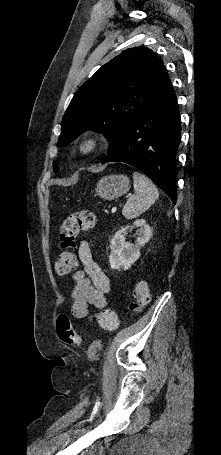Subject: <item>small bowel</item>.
<instances>
[{
    "mask_svg": "<svg viewBox=\"0 0 221 455\" xmlns=\"http://www.w3.org/2000/svg\"><path fill=\"white\" fill-rule=\"evenodd\" d=\"M78 256L82 268L73 276V302L70 312L75 318L84 319L89 315L91 306L98 309L106 307L111 285L108 276L94 261L88 242H81Z\"/></svg>",
    "mask_w": 221,
    "mask_h": 455,
    "instance_id": "c3829d8e",
    "label": "small bowel"
}]
</instances>
